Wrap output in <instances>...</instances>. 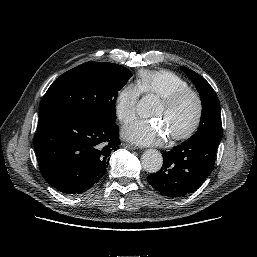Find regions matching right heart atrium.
Listing matches in <instances>:
<instances>
[{
	"mask_svg": "<svg viewBox=\"0 0 257 257\" xmlns=\"http://www.w3.org/2000/svg\"><path fill=\"white\" fill-rule=\"evenodd\" d=\"M141 95L138 85L128 83L118 92L115 100V112L122 123H129L136 117L137 103Z\"/></svg>",
	"mask_w": 257,
	"mask_h": 257,
	"instance_id": "obj_1",
	"label": "right heart atrium"
}]
</instances>
